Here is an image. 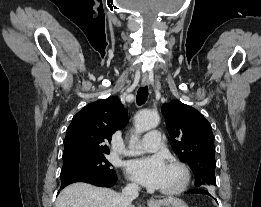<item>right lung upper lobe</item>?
Segmentation results:
<instances>
[{"label":"right lung upper lobe","instance_id":"obj_1","mask_svg":"<svg viewBox=\"0 0 261 207\" xmlns=\"http://www.w3.org/2000/svg\"><path fill=\"white\" fill-rule=\"evenodd\" d=\"M128 123L120 100L110 96L86 105L72 119L64 140L63 161L81 156L106 155L113 133Z\"/></svg>","mask_w":261,"mask_h":207}]
</instances>
